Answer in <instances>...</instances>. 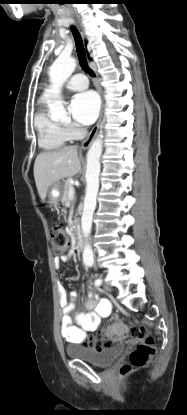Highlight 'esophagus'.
<instances>
[{
	"label": "esophagus",
	"mask_w": 187,
	"mask_h": 415,
	"mask_svg": "<svg viewBox=\"0 0 187 415\" xmlns=\"http://www.w3.org/2000/svg\"><path fill=\"white\" fill-rule=\"evenodd\" d=\"M103 112H104V102L102 103L99 119H98L96 125L93 127V129L91 130L88 137L82 142L81 146H82L83 149H86L90 146V144L93 141L95 135L97 134V131L99 129V126H100L102 118H103Z\"/></svg>",
	"instance_id": "34e87169"
}]
</instances>
